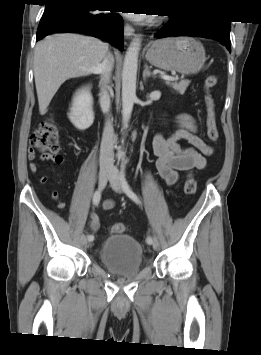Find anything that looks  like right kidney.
<instances>
[{
    "mask_svg": "<svg viewBox=\"0 0 261 355\" xmlns=\"http://www.w3.org/2000/svg\"><path fill=\"white\" fill-rule=\"evenodd\" d=\"M68 117L79 130H86L93 124V97L90 87L82 88L75 93Z\"/></svg>",
    "mask_w": 261,
    "mask_h": 355,
    "instance_id": "obj_1",
    "label": "right kidney"
}]
</instances>
